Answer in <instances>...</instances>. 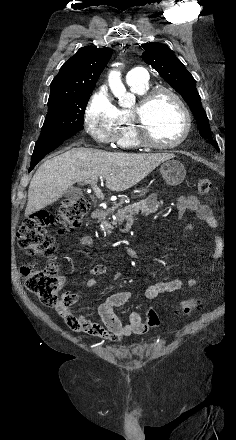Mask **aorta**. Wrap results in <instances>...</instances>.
<instances>
[{"instance_id": "obj_1", "label": "aorta", "mask_w": 236, "mask_h": 440, "mask_svg": "<svg viewBox=\"0 0 236 440\" xmlns=\"http://www.w3.org/2000/svg\"><path fill=\"white\" fill-rule=\"evenodd\" d=\"M108 84L111 92L118 98L119 105L122 107H130L134 103V96L126 91L122 83L121 74L117 70H113L108 75Z\"/></svg>"}]
</instances>
